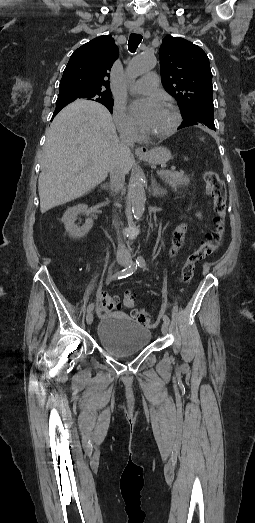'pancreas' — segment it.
Returning a JSON list of instances; mask_svg holds the SVG:
<instances>
[{"label":"pancreas","mask_w":255,"mask_h":523,"mask_svg":"<svg viewBox=\"0 0 255 523\" xmlns=\"http://www.w3.org/2000/svg\"><path fill=\"white\" fill-rule=\"evenodd\" d=\"M160 178L173 188V192H176L177 186H187V184H189V178L188 176H184L183 172L163 174Z\"/></svg>","instance_id":"pancreas-1"}]
</instances>
